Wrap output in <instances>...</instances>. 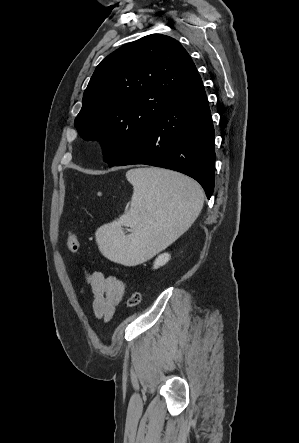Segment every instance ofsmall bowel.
<instances>
[{
	"instance_id": "c3829d8e",
	"label": "small bowel",
	"mask_w": 299,
	"mask_h": 443,
	"mask_svg": "<svg viewBox=\"0 0 299 443\" xmlns=\"http://www.w3.org/2000/svg\"><path fill=\"white\" fill-rule=\"evenodd\" d=\"M86 284L93 295L92 308L95 316L105 322L110 321L125 293V283L115 275L93 270L86 272Z\"/></svg>"
}]
</instances>
